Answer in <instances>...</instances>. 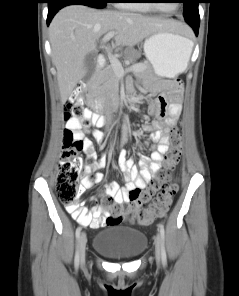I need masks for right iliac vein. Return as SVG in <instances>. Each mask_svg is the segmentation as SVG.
I'll return each instance as SVG.
<instances>
[{
	"label": "right iliac vein",
	"instance_id": "63e3f726",
	"mask_svg": "<svg viewBox=\"0 0 239 296\" xmlns=\"http://www.w3.org/2000/svg\"><path fill=\"white\" fill-rule=\"evenodd\" d=\"M86 243H87L86 235L85 233H82L79 240V259H80L81 265H83L85 262Z\"/></svg>",
	"mask_w": 239,
	"mask_h": 296
}]
</instances>
